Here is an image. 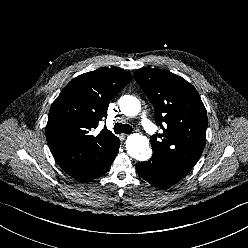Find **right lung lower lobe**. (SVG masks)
I'll use <instances>...</instances> for the list:
<instances>
[{
    "mask_svg": "<svg viewBox=\"0 0 248 248\" xmlns=\"http://www.w3.org/2000/svg\"><path fill=\"white\" fill-rule=\"evenodd\" d=\"M119 146H120V140L118 137H116L113 140L112 146L109 152L106 154V157L96 167L90 170L88 173L82 176L75 177V178L81 181H90L105 174L110 168L112 162L114 161L118 153Z\"/></svg>",
    "mask_w": 248,
    "mask_h": 248,
    "instance_id": "obj_1",
    "label": "right lung lower lobe"
}]
</instances>
